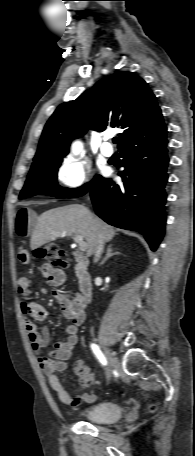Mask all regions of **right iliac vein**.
<instances>
[{
    "instance_id": "1",
    "label": "right iliac vein",
    "mask_w": 195,
    "mask_h": 456,
    "mask_svg": "<svg viewBox=\"0 0 195 456\" xmlns=\"http://www.w3.org/2000/svg\"><path fill=\"white\" fill-rule=\"evenodd\" d=\"M104 354H105L107 362L109 364L108 379H110V377L112 375V370L116 367L117 362H116L115 358L111 355L109 350L104 349Z\"/></svg>"
}]
</instances>
